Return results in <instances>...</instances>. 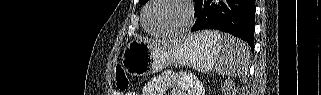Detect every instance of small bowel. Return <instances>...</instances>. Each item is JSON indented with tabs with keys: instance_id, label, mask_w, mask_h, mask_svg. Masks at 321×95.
Instances as JSON below:
<instances>
[{
	"instance_id": "c3829d8e",
	"label": "small bowel",
	"mask_w": 321,
	"mask_h": 95,
	"mask_svg": "<svg viewBox=\"0 0 321 95\" xmlns=\"http://www.w3.org/2000/svg\"><path fill=\"white\" fill-rule=\"evenodd\" d=\"M156 87H157V85L150 84L145 88V90L143 91L142 94L143 95H161V94H163L161 92H158L156 90ZM201 94H202V89L199 87L198 89H196L195 95H201ZM126 95H137V93L136 92H128V93H126Z\"/></svg>"
}]
</instances>
